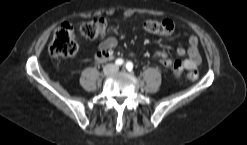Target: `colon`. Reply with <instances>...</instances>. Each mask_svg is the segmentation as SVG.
I'll list each match as a JSON object with an SVG mask.
<instances>
[{
  "instance_id": "colon-1",
  "label": "colon",
  "mask_w": 247,
  "mask_h": 145,
  "mask_svg": "<svg viewBox=\"0 0 247 145\" xmlns=\"http://www.w3.org/2000/svg\"><path fill=\"white\" fill-rule=\"evenodd\" d=\"M107 27L108 24L105 18L96 17L83 23L80 26V32L89 39H98L106 35ZM144 28L149 33L169 36L174 31V23L171 20L147 19L144 22ZM77 49L78 44L74 26L70 23H63L54 32L49 46L50 54L53 57L65 58L74 55ZM172 68L175 75L179 76L184 70V63L181 60H176L172 63ZM187 77L190 80H196L198 78L197 70L189 71Z\"/></svg>"
}]
</instances>
